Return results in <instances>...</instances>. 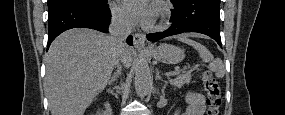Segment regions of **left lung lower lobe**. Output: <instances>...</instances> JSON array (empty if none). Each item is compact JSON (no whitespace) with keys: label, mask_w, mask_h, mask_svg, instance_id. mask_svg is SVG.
<instances>
[{"label":"left lung lower lobe","mask_w":285,"mask_h":115,"mask_svg":"<svg viewBox=\"0 0 285 115\" xmlns=\"http://www.w3.org/2000/svg\"><path fill=\"white\" fill-rule=\"evenodd\" d=\"M174 9L171 13L172 25L164 32L151 33V42L184 33L198 32L213 38L221 46L220 0H171Z\"/></svg>","instance_id":"0a47b994"}]
</instances>
